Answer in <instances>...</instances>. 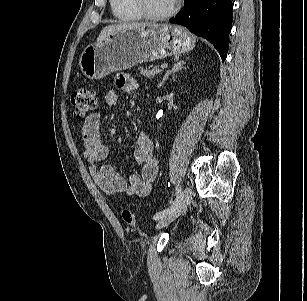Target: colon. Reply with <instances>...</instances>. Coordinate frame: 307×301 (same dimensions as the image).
<instances>
[{"label":"colon","mask_w":307,"mask_h":301,"mask_svg":"<svg viewBox=\"0 0 307 301\" xmlns=\"http://www.w3.org/2000/svg\"><path fill=\"white\" fill-rule=\"evenodd\" d=\"M74 115L78 119H86L92 115L97 106L96 93L92 88L81 86L71 96ZM123 220L130 226L136 224V218L130 210L122 212Z\"/></svg>","instance_id":"5ec220e1"}]
</instances>
